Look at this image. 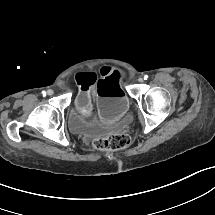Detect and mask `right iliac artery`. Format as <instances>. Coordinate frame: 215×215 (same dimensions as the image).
<instances>
[{
    "instance_id": "obj_1",
    "label": "right iliac artery",
    "mask_w": 215,
    "mask_h": 215,
    "mask_svg": "<svg viewBox=\"0 0 215 215\" xmlns=\"http://www.w3.org/2000/svg\"><path fill=\"white\" fill-rule=\"evenodd\" d=\"M42 94H43V96H46V92L45 91H42Z\"/></svg>"
}]
</instances>
